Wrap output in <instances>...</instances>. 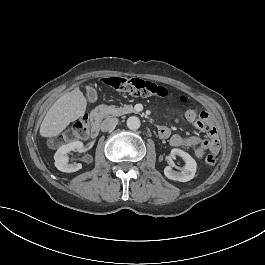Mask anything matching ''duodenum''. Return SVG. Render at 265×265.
<instances>
[{"instance_id": "obj_1", "label": "duodenum", "mask_w": 265, "mask_h": 265, "mask_svg": "<svg viewBox=\"0 0 265 265\" xmlns=\"http://www.w3.org/2000/svg\"><path fill=\"white\" fill-rule=\"evenodd\" d=\"M107 112L104 106H97L90 113V127L91 130H97L99 128L100 119Z\"/></svg>"}]
</instances>
